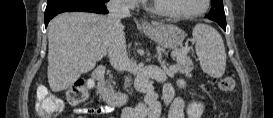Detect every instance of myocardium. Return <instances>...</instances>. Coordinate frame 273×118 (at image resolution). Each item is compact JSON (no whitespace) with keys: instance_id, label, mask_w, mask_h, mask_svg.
I'll list each match as a JSON object with an SVG mask.
<instances>
[{"instance_id":"1","label":"myocardium","mask_w":273,"mask_h":118,"mask_svg":"<svg viewBox=\"0 0 273 118\" xmlns=\"http://www.w3.org/2000/svg\"><path fill=\"white\" fill-rule=\"evenodd\" d=\"M209 3H210L209 0H203V7L200 10H197L191 13H177V12L162 10L159 8L158 0L149 1L148 8L150 12L160 17L175 18V19H189V18H194L204 14L209 8Z\"/></svg>"}]
</instances>
